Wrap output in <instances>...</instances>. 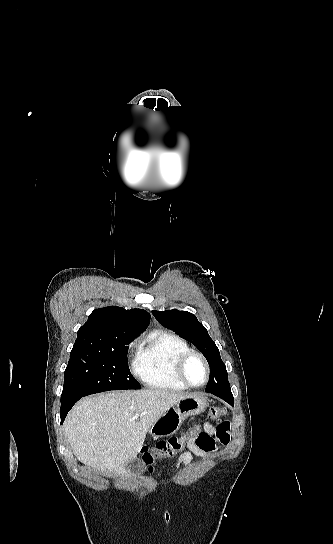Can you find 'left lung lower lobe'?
<instances>
[{"instance_id": "1", "label": "left lung lower lobe", "mask_w": 333, "mask_h": 544, "mask_svg": "<svg viewBox=\"0 0 333 544\" xmlns=\"http://www.w3.org/2000/svg\"><path fill=\"white\" fill-rule=\"evenodd\" d=\"M209 393H212L215 396L220 397L221 399H223L224 401H226L227 403L233 406V395L231 392L230 393L229 392H209Z\"/></svg>"}]
</instances>
